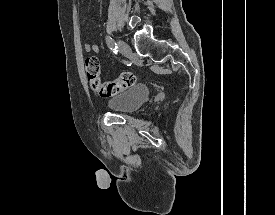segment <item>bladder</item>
<instances>
[{
  "mask_svg": "<svg viewBox=\"0 0 275 215\" xmlns=\"http://www.w3.org/2000/svg\"><path fill=\"white\" fill-rule=\"evenodd\" d=\"M149 91L146 85L139 84L133 88L113 94L108 101V107L118 114H129L137 110L148 99Z\"/></svg>",
  "mask_w": 275,
  "mask_h": 215,
  "instance_id": "1",
  "label": "bladder"
}]
</instances>
